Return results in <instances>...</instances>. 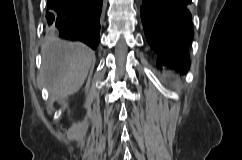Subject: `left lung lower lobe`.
Masks as SVG:
<instances>
[{"label":"left lung lower lobe","mask_w":242,"mask_h":160,"mask_svg":"<svg viewBox=\"0 0 242 160\" xmlns=\"http://www.w3.org/2000/svg\"><path fill=\"white\" fill-rule=\"evenodd\" d=\"M192 0H143L140 9L145 35L158 55L157 66L174 65L186 72L193 38Z\"/></svg>","instance_id":"obj_1"}]
</instances>
